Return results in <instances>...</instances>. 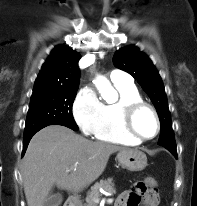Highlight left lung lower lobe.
<instances>
[{"label":"left lung lower lobe","instance_id":"0a47b994","mask_svg":"<svg viewBox=\"0 0 197 206\" xmlns=\"http://www.w3.org/2000/svg\"><path fill=\"white\" fill-rule=\"evenodd\" d=\"M165 148L169 150L177 158L176 147H165Z\"/></svg>","mask_w":197,"mask_h":206}]
</instances>
